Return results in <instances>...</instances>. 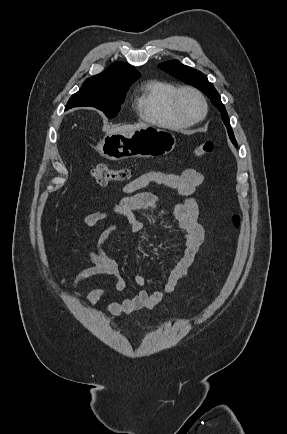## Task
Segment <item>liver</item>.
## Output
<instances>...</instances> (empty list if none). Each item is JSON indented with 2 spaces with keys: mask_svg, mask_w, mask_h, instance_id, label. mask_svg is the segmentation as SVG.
I'll list each match as a JSON object with an SVG mask.
<instances>
[{
  "mask_svg": "<svg viewBox=\"0 0 287 434\" xmlns=\"http://www.w3.org/2000/svg\"><path fill=\"white\" fill-rule=\"evenodd\" d=\"M147 125L145 124H135V125H124L116 128H112L108 131V133H130L137 129L144 128Z\"/></svg>",
  "mask_w": 287,
  "mask_h": 434,
  "instance_id": "1",
  "label": "liver"
}]
</instances>
